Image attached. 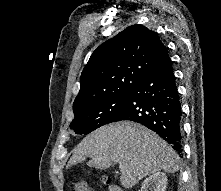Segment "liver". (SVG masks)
Listing matches in <instances>:
<instances>
[{"label": "liver", "mask_w": 221, "mask_h": 191, "mask_svg": "<svg viewBox=\"0 0 221 191\" xmlns=\"http://www.w3.org/2000/svg\"><path fill=\"white\" fill-rule=\"evenodd\" d=\"M90 157L89 166L109 168L119 163L120 182L131 188L139 180L160 170L178 171V155L163 139L146 127L129 122L102 126L86 136L75 148L70 165Z\"/></svg>", "instance_id": "1"}]
</instances>
